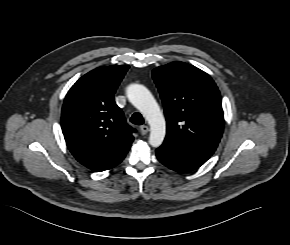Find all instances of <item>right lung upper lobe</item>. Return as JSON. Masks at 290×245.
Segmentation results:
<instances>
[{"instance_id": "cb5924a9", "label": "right lung upper lobe", "mask_w": 290, "mask_h": 245, "mask_svg": "<svg viewBox=\"0 0 290 245\" xmlns=\"http://www.w3.org/2000/svg\"><path fill=\"white\" fill-rule=\"evenodd\" d=\"M129 66L96 68L68 91L61 127L73 156L87 168L101 172L118 165L134 140L114 93Z\"/></svg>"}]
</instances>
